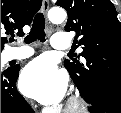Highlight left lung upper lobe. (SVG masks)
I'll return each mask as SVG.
<instances>
[{
  "label": "left lung upper lobe",
  "mask_w": 121,
  "mask_h": 113,
  "mask_svg": "<svg viewBox=\"0 0 121 113\" xmlns=\"http://www.w3.org/2000/svg\"><path fill=\"white\" fill-rule=\"evenodd\" d=\"M68 13L66 31H75L83 62L65 68L80 93L98 90L121 100L120 22L110 0H57ZM78 38V40H77Z\"/></svg>",
  "instance_id": "obj_1"
}]
</instances>
